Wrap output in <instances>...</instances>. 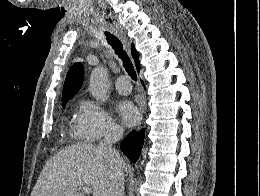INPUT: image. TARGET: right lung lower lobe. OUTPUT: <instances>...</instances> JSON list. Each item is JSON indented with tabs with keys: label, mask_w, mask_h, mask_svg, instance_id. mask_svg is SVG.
<instances>
[{
	"label": "right lung lower lobe",
	"mask_w": 260,
	"mask_h": 196,
	"mask_svg": "<svg viewBox=\"0 0 260 196\" xmlns=\"http://www.w3.org/2000/svg\"><path fill=\"white\" fill-rule=\"evenodd\" d=\"M144 143V130L130 132L121 143V151L133 162L139 158Z\"/></svg>",
	"instance_id": "98d812e1"
}]
</instances>
